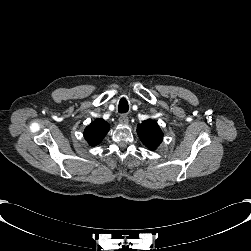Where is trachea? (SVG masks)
I'll return each mask as SVG.
<instances>
[{
	"mask_svg": "<svg viewBox=\"0 0 251 251\" xmlns=\"http://www.w3.org/2000/svg\"><path fill=\"white\" fill-rule=\"evenodd\" d=\"M129 110L128 102L126 99H121L118 105V112L120 114H125Z\"/></svg>",
	"mask_w": 251,
	"mask_h": 251,
	"instance_id": "1",
	"label": "trachea"
}]
</instances>
